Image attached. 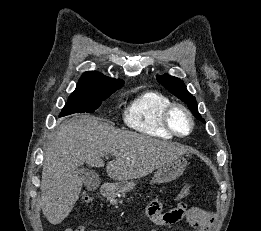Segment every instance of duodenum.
<instances>
[{
  "mask_svg": "<svg viewBox=\"0 0 261 231\" xmlns=\"http://www.w3.org/2000/svg\"><path fill=\"white\" fill-rule=\"evenodd\" d=\"M99 192L103 196H108L112 193V188L109 185H102L99 189Z\"/></svg>",
  "mask_w": 261,
  "mask_h": 231,
  "instance_id": "1",
  "label": "duodenum"
}]
</instances>
